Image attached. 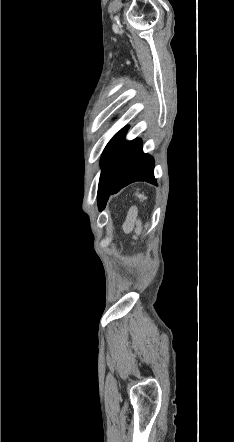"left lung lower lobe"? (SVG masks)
Wrapping results in <instances>:
<instances>
[{
    "label": "left lung lower lobe",
    "mask_w": 234,
    "mask_h": 442,
    "mask_svg": "<svg viewBox=\"0 0 234 442\" xmlns=\"http://www.w3.org/2000/svg\"><path fill=\"white\" fill-rule=\"evenodd\" d=\"M128 127L120 130L107 144L101 159L102 173L98 187V205L105 206L109 195L135 182L156 184L154 160L142 151L141 140L125 141Z\"/></svg>",
    "instance_id": "obj_1"
}]
</instances>
